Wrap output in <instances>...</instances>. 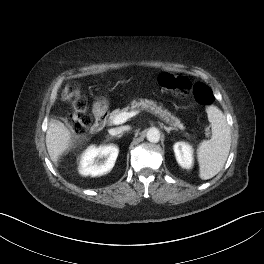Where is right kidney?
Returning <instances> with one entry per match:
<instances>
[{"mask_svg": "<svg viewBox=\"0 0 264 264\" xmlns=\"http://www.w3.org/2000/svg\"><path fill=\"white\" fill-rule=\"evenodd\" d=\"M119 149L117 146L110 144L106 146H90L83 153L79 163V173L83 176H98L110 172L114 167ZM99 161V159H103Z\"/></svg>", "mask_w": 264, "mask_h": 264, "instance_id": "1", "label": "right kidney"}]
</instances>
